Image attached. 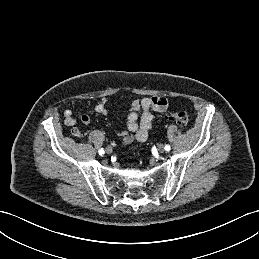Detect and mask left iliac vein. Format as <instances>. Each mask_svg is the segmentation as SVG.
I'll return each mask as SVG.
<instances>
[{"instance_id": "4c4485c4", "label": "left iliac vein", "mask_w": 259, "mask_h": 259, "mask_svg": "<svg viewBox=\"0 0 259 259\" xmlns=\"http://www.w3.org/2000/svg\"><path fill=\"white\" fill-rule=\"evenodd\" d=\"M158 150H159L160 153H163L165 151L164 145L163 144H159L158 145Z\"/></svg>"}]
</instances>
